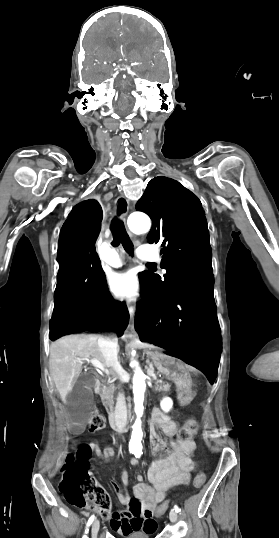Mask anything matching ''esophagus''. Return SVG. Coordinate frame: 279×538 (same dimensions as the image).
Masks as SVG:
<instances>
[{
	"instance_id": "esophagus-1",
	"label": "esophagus",
	"mask_w": 279,
	"mask_h": 538,
	"mask_svg": "<svg viewBox=\"0 0 279 538\" xmlns=\"http://www.w3.org/2000/svg\"><path fill=\"white\" fill-rule=\"evenodd\" d=\"M129 212V201L125 196H119L115 201V214L119 220H124ZM130 322L126 329L124 336L126 338H138L137 332L134 327V308H129Z\"/></svg>"
}]
</instances>
